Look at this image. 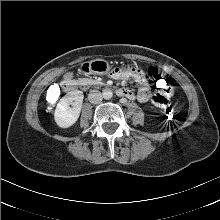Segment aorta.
Instances as JSON below:
<instances>
[{"instance_id": "1", "label": "aorta", "mask_w": 220, "mask_h": 220, "mask_svg": "<svg viewBox=\"0 0 220 220\" xmlns=\"http://www.w3.org/2000/svg\"><path fill=\"white\" fill-rule=\"evenodd\" d=\"M104 99H110L113 95L112 91L109 90V89H105L103 90V93H102Z\"/></svg>"}]
</instances>
